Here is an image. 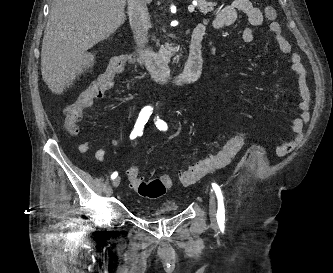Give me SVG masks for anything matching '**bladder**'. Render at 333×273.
Instances as JSON below:
<instances>
[{"mask_svg": "<svg viewBox=\"0 0 333 273\" xmlns=\"http://www.w3.org/2000/svg\"><path fill=\"white\" fill-rule=\"evenodd\" d=\"M175 213H176V210L169 206H167V207L156 206V207L152 208L151 212L148 215H146L145 218H149L152 220H162Z\"/></svg>", "mask_w": 333, "mask_h": 273, "instance_id": "1", "label": "bladder"}]
</instances>
